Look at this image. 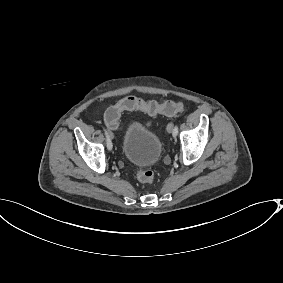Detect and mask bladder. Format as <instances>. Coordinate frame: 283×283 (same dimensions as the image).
Returning a JSON list of instances; mask_svg holds the SVG:
<instances>
[{
  "label": "bladder",
  "mask_w": 283,
  "mask_h": 283,
  "mask_svg": "<svg viewBox=\"0 0 283 283\" xmlns=\"http://www.w3.org/2000/svg\"><path fill=\"white\" fill-rule=\"evenodd\" d=\"M163 140L143 124L129 121L121 136V154L134 166H152L161 156Z\"/></svg>",
  "instance_id": "obj_1"
}]
</instances>
